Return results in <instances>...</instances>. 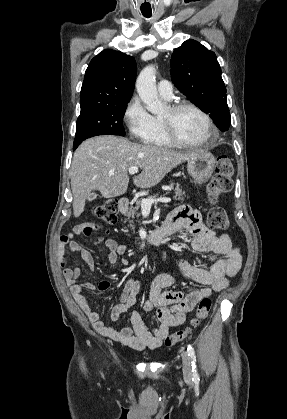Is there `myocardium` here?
I'll use <instances>...</instances> for the list:
<instances>
[{"instance_id": "1", "label": "myocardium", "mask_w": 287, "mask_h": 419, "mask_svg": "<svg viewBox=\"0 0 287 419\" xmlns=\"http://www.w3.org/2000/svg\"><path fill=\"white\" fill-rule=\"evenodd\" d=\"M170 109L173 112H178L183 109H191V110L196 111L204 119L209 130V134L204 140L199 141V142H188V141L183 140L176 134L171 122L161 119V124L163 126L165 136L172 144L177 145V146H182V147L197 148V147L206 146L217 138L218 131L211 117L199 106L188 101H182V102H177V103L172 104L170 106Z\"/></svg>"}]
</instances>
